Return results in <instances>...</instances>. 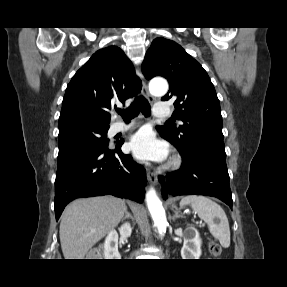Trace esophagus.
Instances as JSON below:
<instances>
[{
  "mask_svg": "<svg viewBox=\"0 0 287 287\" xmlns=\"http://www.w3.org/2000/svg\"><path fill=\"white\" fill-rule=\"evenodd\" d=\"M140 77L142 78V93L144 96L147 97V99L149 100L150 103H153L155 101V98L149 93L148 88H147V84L146 82L143 80V76L142 74H139ZM147 172V179L151 184H157L158 181V174L155 172H152L149 169H146Z\"/></svg>",
  "mask_w": 287,
  "mask_h": 287,
  "instance_id": "esophagus-1",
  "label": "esophagus"
}]
</instances>
